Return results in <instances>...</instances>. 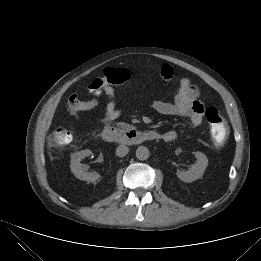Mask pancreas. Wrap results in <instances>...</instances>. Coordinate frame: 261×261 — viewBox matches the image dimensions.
Masks as SVG:
<instances>
[{"instance_id": "1", "label": "pancreas", "mask_w": 261, "mask_h": 261, "mask_svg": "<svg viewBox=\"0 0 261 261\" xmlns=\"http://www.w3.org/2000/svg\"><path fill=\"white\" fill-rule=\"evenodd\" d=\"M116 125L122 129H127L128 128V124L124 123V122H118L116 123Z\"/></svg>"}]
</instances>
